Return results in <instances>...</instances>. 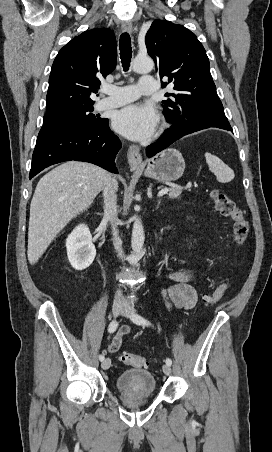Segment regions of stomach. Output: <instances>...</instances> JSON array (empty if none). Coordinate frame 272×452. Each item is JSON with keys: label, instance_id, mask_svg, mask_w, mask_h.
I'll return each mask as SVG.
<instances>
[{"label": "stomach", "instance_id": "1", "mask_svg": "<svg viewBox=\"0 0 272 452\" xmlns=\"http://www.w3.org/2000/svg\"><path fill=\"white\" fill-rule=\"evenodd\" d=\"M185 169L182 154L173 148H168L151 158L144 170L145 176L159 181H175Z\"/></svg>", "mask_w": 272, "mask_h": 452}]
</instances>
